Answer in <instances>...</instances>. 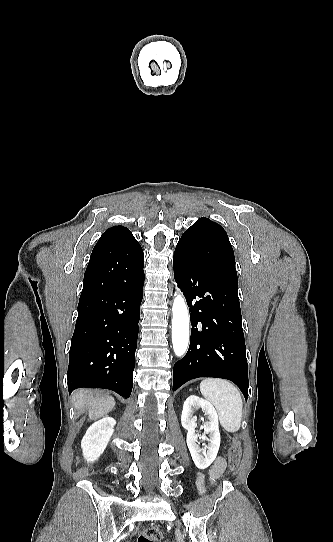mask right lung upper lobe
<instances>
[{
    "instance_id": "obj_1",
    "label": "right lung upper lobe",
    "mask_w": 333,
    "mask_h": 542,
    "mask_svg": "<svg viewBox=\"0 0 333 542\" xmlns=\"http://www.w3.org/2000/svg\"><path fill=\"white\" fill-rule=\"evenodd\" d=\"M132 233L123 226H113L105 231L95 245L94 250L112 248L118 244L134 240Z\"/></svg>"
}]
</instances>
